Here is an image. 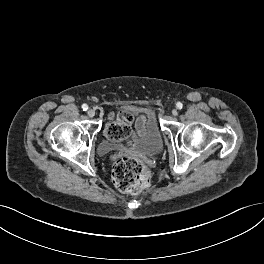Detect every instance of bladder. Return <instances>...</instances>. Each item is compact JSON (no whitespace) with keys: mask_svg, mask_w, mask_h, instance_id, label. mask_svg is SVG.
Returning a JSON list of instances; mask_svg holds the SVG:
<instances>
[{"mask_svg":"<svg viewBox=\"0 0 264 264\" xmlns=\"http://www.w3.org/2000/svg\"><path fill=\"white\" fill-rule=\"evenodd\" d=\"M135 113L145 117V126L142 132H133L126 143L107 139L101 142L99 150L108 154L125 145L132 151L143 156H154L163 149L162 134L153 111L149 109L136 108Z\"/></svg>","mask_w":264,"mask_h":264,"instance_id":"obj_1","label":"bladder"}]
</instances>
